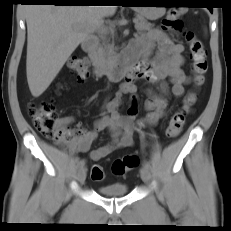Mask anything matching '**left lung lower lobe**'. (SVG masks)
<instances>
[{
    "label": "left lung lower lobe",
    "instance_id": "0a47b994",
    "mask_svg": "<svg viewBox=\"0 0 231 231\" xmlns=\"http://www.w3.org/2000/svg\"><path fill=\"white\" fill-rule=\"evenodd\" d=\"M208 9H209L211 12H213V8H212V7H208Z\"/></svg>",
    "mask_w": 231,
    "mask_h": 231
}]
</instances>
